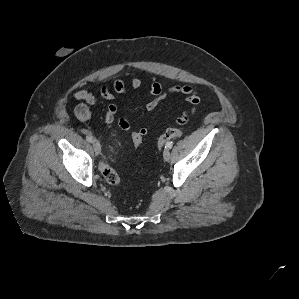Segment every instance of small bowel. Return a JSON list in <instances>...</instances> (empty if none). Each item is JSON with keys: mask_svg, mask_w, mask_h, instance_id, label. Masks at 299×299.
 Listing matches in <instances>:
<instances>
[{"mask_svg": "<svg viewBox=\"0 0 299 299\" xmlns=\"http://www.w3.org/2000/svg\"><path fill=\"white\" fill-rule=\"evenodd\" d=\"M143 84L141 77H134L127 85L122 79H116L112 86L104 85L101 88L100 96L101 101L110 102L114 99V93L123 94L128 90H137ZM169 93L182 94L186 97L187 102L191 105L190 108L185 109L182 114L176 119L178 124H184L188 121L189 116L195 112L196 107L199 104V96L193 88L187 85L183 86H171L164 88L158 81H149V94L151 98L145 103V108L148 111L154 110L159 102ZM74 97L79 104L75 108V114L80 121H88L92 117L91 106L97 104L100 100L91 92L87 90H79L75 92ZM117 114V106L114 103H109L106 106L105 114L102 121L105 124H111L114 122ZM119 127L123 131H129L131 129L130 123L126 117H120L118 120ZM139 130L145 135L147 133L146 128L142 127Z\"/></svg>", "mask_w": 299, "mask_h": 299, "instance_id": "obj_1", "label": "small bowel"}]
</instances>
